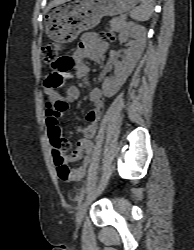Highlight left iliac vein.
<instances>
[{"instance_id": "1", "label": "left iliac vein", "mask_w": 194, "mask_h": 250, "mask_svg": "<svg viewBox=\"0 0 194 250\" xmlns=\"http://www.w3.org/2000/svg\"><path fill=\"white\" fill-rule=\"evenodd\" d=\"M89 198H90V195L87 196V198L85 199V201L82 203V205L80 206V208L78 210V213H77L78 225H80L83 221L84 215L86 213Z\"/></svg>"}]
</instances>
